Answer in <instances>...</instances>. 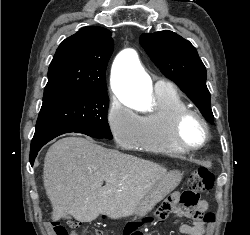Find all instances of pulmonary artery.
Segmentation results:
<instances>
[{"instance_id":"obj_1","label":"pulmonary artery","mask_w":250,"mask_h":235,"mask_svg":"<svg viewBox=\"0 0 250 235\" xmlns=\"http://www.w3.org/2000/svg\"><path fill=\"white\" fill-rule=\"evenodd\" d=\"M170 86V84L164 80H158L156 83H155V88L160 90V89H164L166 87Z\"/></svg>"}]
</instances>
